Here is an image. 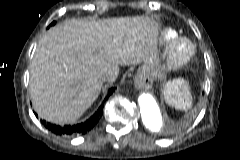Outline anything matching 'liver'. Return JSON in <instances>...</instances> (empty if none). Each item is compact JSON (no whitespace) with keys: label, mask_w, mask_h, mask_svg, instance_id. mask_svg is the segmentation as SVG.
<instances>
[{"label":"liver","mask_w":240,"mask_h":160,"mask_svg":"<svg viewBox=\"0 0 240 160\" xmlns=\"http://www.w3.org/2000/svg\"><path fill=\"white\" fill-rule=\"evenodd\" d=\"M157 36L158 24L144 16L71 19L50 28L30 67L35 111L55 124L75 122L97 99L104 75L117 78L120 65L154 58Z\"/></svg>","instance_id":"liver-1"}]
</instances>
